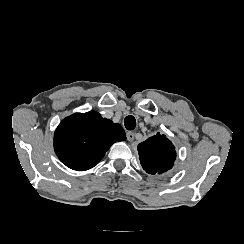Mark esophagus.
<instances>
[{"label":"esophagus","mask_w":244,"mask_h":244,"mask_svg":"<svg viewBox=\"0 0 244 244\" xmlns=\"http://www.w3.org/2000/svg\"><path fill=\"white\" fill-rule=\"evenodd\" d=\"M126 136L128 141L132 142L134 140V133L132 131H128Z\"/></svg>","instance_id":"1"}]
</instances>
